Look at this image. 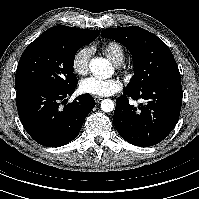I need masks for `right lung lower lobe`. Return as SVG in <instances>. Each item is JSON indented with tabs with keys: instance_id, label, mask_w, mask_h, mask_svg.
<instances>
[{
	"instance_id": "obj_1",
	"label": "right lung lower lobe",
	"mask_w": 199,
	"mask_h": 199,
	"mask_svg": "<svg viewBox=\"0 0 199 199\" xmlns=\"http://www.w3.org/2000/svg\"><path fill=\"white\" fill-rule=\"evenodd\" d=\"M76 86L62 90L41 87L17 90L19 118L37 143L46 147H59L78 136L95 101L90 94H84L67 104L65 98L73 94ZM61 104H65L64 107Z\"/></svg>"
}]
</instances>
